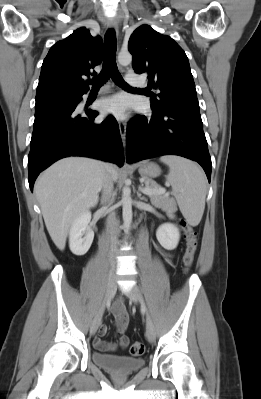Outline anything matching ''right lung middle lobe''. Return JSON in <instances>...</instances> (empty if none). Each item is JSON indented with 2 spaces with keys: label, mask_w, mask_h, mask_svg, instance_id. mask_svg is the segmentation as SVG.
<instances>
[{
  "label": "right lung middle lobe",
  "mask_w": 261,
  "mask_h": 399,
  "mask_svg": "<svg viewBox=\"0 0 261 399\" xmlns=\"http://www.w3.org/2000/svg\"><path fill=\"white\" fill-rule=\"evenodd\" d=\"M81 96L82 95L68 96V97H63V98H57V99H52V100H47V101L36 102L35 109L51 106V105L58 104V103H73V102H76L79 98H81Z\"/></svg>",
  "instance_id": "1"
}]
</instances>
